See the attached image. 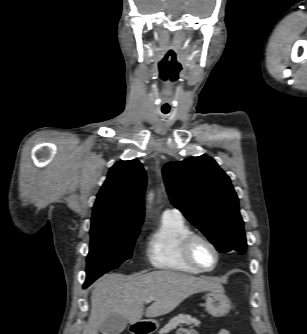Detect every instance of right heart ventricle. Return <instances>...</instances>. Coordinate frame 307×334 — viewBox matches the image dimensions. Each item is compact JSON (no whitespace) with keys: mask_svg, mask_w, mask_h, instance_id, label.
Here are the masks:
<instances>
[{"mask_svg":"<svg viewBox=\"0 0 307 334\" xmlns=\"http://www.w3.org/2000/svg\"><path fill=\"white\" fill-rule=\"evenodd\" d=\"M190 233L192 230L183 218L162 215L147 239L145 254L149 264L168 272L201 273L185 260L182 253V241Z\"/></svg>","mask_w":307,"mask_h":334,"instance_id":"right-heart-ventricle-1","label":"right heart ventricle"}]
</instances>
